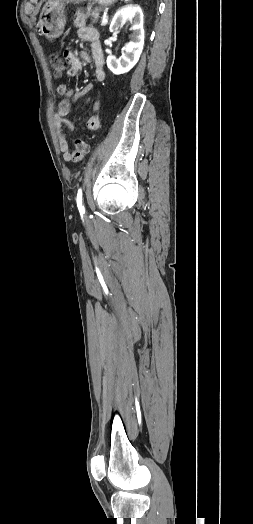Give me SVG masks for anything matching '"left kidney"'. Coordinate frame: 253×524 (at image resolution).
Here are the masks:
<instances>
[{
	"label": "left kidney",
	"mask_w": 253,
	"mask_h": 524,
	"mask_svg": "<svg viewBox=\"0 0 253 524\" xmlns=\"http://www.w3.org/2000/svg\"><path fill=\"white\" fill-rule=\"evenodd\" d=\"M127 21L131 23L132 40L126 45L125 53L117 59L113 55L107 57L106 63L114 74L130 71L138 62L144 46L143 12L138 5H127L118 10L110 24V32L117 33Z\"/></svg>",
	"instance_id": "obj_1"
}]
</instances>
